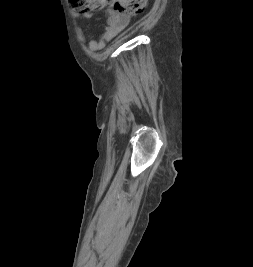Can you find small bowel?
I'll return each instance as SVG.
<instances>
[{
  "label": "small bowel",
  "instance_id": "small-bowel-1",
  "mask_svg": "<svg viewBox=\"0 0 253 267\" xmlns=\"http://www.w3.org/2000/svg\"><path fill=\"white\" fill-rule=\"evenodd\" d=\"M85 16L89 17L90 14H86ZM129 22V15L110 10L108 19L104 25V32L98 38H90L88 43L89 48L92 51L102 50L110 40L114 39L128 26Z\"/></svg>",
  "mask_w": 253,
  "mask_h": 267
}]
</instances>
